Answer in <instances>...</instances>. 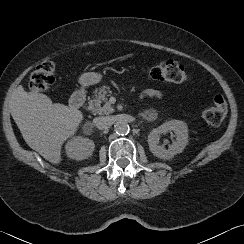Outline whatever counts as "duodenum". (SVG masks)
Instances as JSON below:
<instances>
[{"label":"duodenum","instance_id":"obj_1","mask_svg":"<svg viewBox=\"0 0 244 244\" xmlns=\"http://www.w3.org/2000/svg\"><path fill=\"white\" fill-rule=\"evenodd\" d=\"M86 96H87V89L85 88H80L76 90L70 100H69V105L72 109H79L82 106L85 105L86 103Z\"/></svg>","mask_w":244,"mask_h":244}]
</instances>
